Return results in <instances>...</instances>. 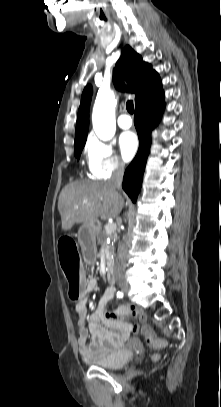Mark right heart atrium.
<instances>
[{
  "label": "right heart atrium",
  "mask_w": 221,
  "mask_h": 407,
  "mask_svg": "<svg viewBox=\"0 0 221 407\" xmlns=\"http://www.w3.org/2000/svg\"><path fill=\"white\" fill-rule=\"evenodd\" d=\"M85 155L88 170L96 179L108 178L124 167L112 145L96 138L87 141Z\"/></svg>",
  "instance_id": "right-heart-atrium-1"
}]
</instances>
